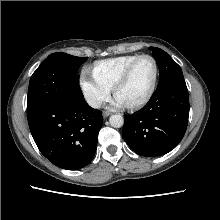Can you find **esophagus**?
Segmentation results:
<instances>
[{"mask_svg": "<svg viewBox=\"0 0 220 220\" xmlns=\"http://www.w3.org/2000/svg\"><path fill=\"white\" fill-rule=\"evenodd\" d=\"M110 114H111L110 112L104 111V112H103V117H104V118H107Z\"/></svg>", "mask_w": 220, "mask_h": 220, "instance_id": "34e87169", "label": "esophagus"}]
</instances>
